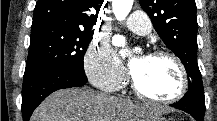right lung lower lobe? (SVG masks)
Returning <instances> with one entry per match:
<instances>
[{
  "mask_svg": "<svg viewBox=\"0 0 217 121\" xmlns=\"http://www.w3.org/2000/svg\"><path fill=\"white\" fill-rule=\"evenodd\" d=\"M85 74L63 67H51L24 74L22 87L23 121H29L34 109L52 92L85 85Z\"/></svg>",
  "mask_w": 217,
  "mask_h": 121,
  "instance_id": "right-lung-lower-lobe-1",
  "label": "right lung lower lobe"
}]
</instances>
